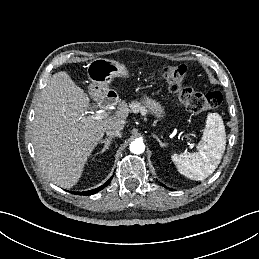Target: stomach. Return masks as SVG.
Returning <instances> with one entry per match:
<instances>
[{
    "instance_id": "1",
    "label": "stomach",
    "mask_w": 259,
    "mask_h": 259,
    "mask_svg": "<svg viewBox=\"0 0 259 259\" xmlns=\"http://www.w3.org/2000/svg\"><path fill=\"white\" fill-rule=\"evenodd\" d=\"M87 76L91 81L89 91L92 95L104 93L108 85L116 77L128 78L129 70L124 64L106 58H97L87 65ZM148 110L160 121H164L166 112L164 107L154 99L143 96L142 99Z\"/></svg>"
}]
</instances>
